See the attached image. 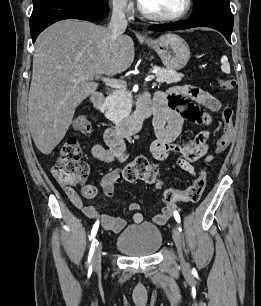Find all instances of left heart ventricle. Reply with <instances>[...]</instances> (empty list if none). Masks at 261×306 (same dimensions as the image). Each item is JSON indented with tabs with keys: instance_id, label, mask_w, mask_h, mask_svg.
<instances>
[{
	"instance_id": "b2bd125f",
	"label": "left heart ventricle",
	"mask_w": 261,
	"mask_h": 306,
	"mask_svg": "<svg viewBox=\"0 0 261 306\" xmlns=\"http://www.w3.org/2000/svg\"><path fill=\"white\" fill-rule=\"evenodd\" d=\"M149 11L161 15H174L179 13L185 5V0H140Z\"/></svg>"
}]
</instances>
